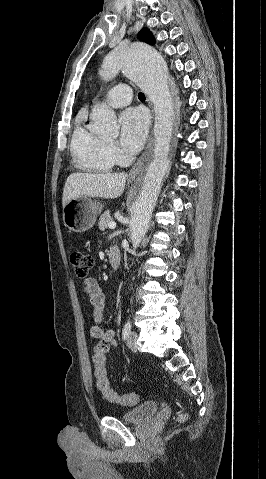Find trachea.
Masks as SVG:
<instances>
[{"mask_svg": "<svg viewBox=\"0 0 266 479\" xmlns=\"http://www.w3.org/2000/svg\"><path fill=\"white\" fill-rule=\"evenodd\" d=\"M138 98H139L140 100L145 99L144 93L140 92V93L138 94Z\"/></svg>", "mask_w": 266, "mask_h": 479, "instance_id": "trachea-1", "label": "trachea"}]
</instances>
